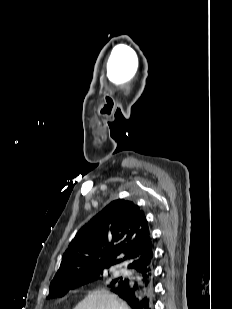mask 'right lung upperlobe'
<instances>
[{
  "label": "right lung upper lobe",
  "instance_id": "1",
  "mask_svg": "<svg viewBox=\"0 0 232 309\" xmlns=\"http://www.w3.org/2000/svg\"><path fill=\"white\" fill-rule=\"evenodd\" d=\"M149 257H153V244L144 212L133 202L118 199L77 232L50 289L57 282L103 271L123 261L130 266ZM56 297L61 296L50 298Z\"/></svg>",
  "mask_w": 232,
  "mask_h": 309
}]
</instances>
